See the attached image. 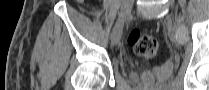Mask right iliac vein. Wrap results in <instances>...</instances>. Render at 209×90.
I'll use <instances>...</instances> for the list:
<instances>
[{
  "label": "right iliac vein",
  "instance_id": "obj_1",
  "mask_svg": "<svg viewBox=\"0 0 209 90\" xmlns=\"http://www.w3.org/2000/svg\"><path fill=\"white\" fill-rule=\"evenodd\" d=\"M131 9H132V1L131 0L124 1L120 15L112 31V36H111L112 45H117L120 42L125 19L130 14Z\"/></svg>",
  "mask_w": 209,
  "mask_h": 90
}]
</instances>
